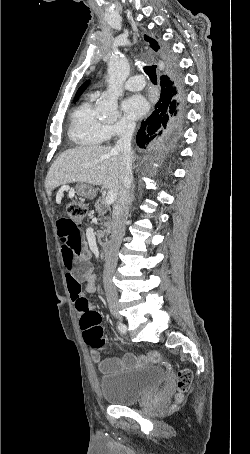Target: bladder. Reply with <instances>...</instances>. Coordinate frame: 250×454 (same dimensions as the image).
<instances>
[{
    "label": "bladder",
    "instance_id": "31cf9c89",
    "mask_svg": "<svg viewBox=\"0 0 250 454\" xmlns=\"http://www.w3.org/2000/svg\"><path fill=\"white\" fill-rule=\"evenodd\" d=\"M161 366L149 365L135 370H122L105 375L99 380L103 399L112 405L129 406L139 403L157 391L163 381Z\"/></svg>",
    "mask_w": 250,
    "mask_h": 454
}]
</instances>
